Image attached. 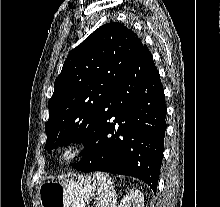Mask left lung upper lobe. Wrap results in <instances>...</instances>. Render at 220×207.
<instances>
[{"mask_svg":"<svg viewBox=\"0 0 220 207\" xmlns=\"http://www.w3.org/2000/svg\"><path fill=\"white\" fill-rule=\"evenodd\" d=\"M141 44L131 29L110 22L69 53L49 100L45 149L87 141Z\"/></svg>","mask_w":220,"mask_h":207,"instance_id":"left-lung-upper-lobe-1","label":"left lung upper lobe"}]
</instances>
